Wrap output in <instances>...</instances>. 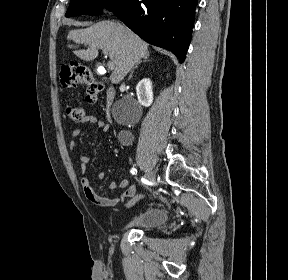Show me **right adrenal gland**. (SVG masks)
<instances>
[{
  "mask_svg": "<svg viewBox=\"0 0 288 280\" xmlns=\"http://www.w3.org/2000/svg\"><path fill=\"white\" fill-rule=\"evenodd\" d=\"M146 61H150L148 55L145 56V57H143V60L139 61L138 63H136V64L134 65V67L131 69V73H130V75H129V79L132 77V75H133V73H134V70L137 69L138 66H139L142 62H146Z\"/></svg>",
  "mask_w": 288,
  "mask_h": 280,
  "instance_id": "obj_1",
  "label": "right adrenal gland"
}]
</instances>
